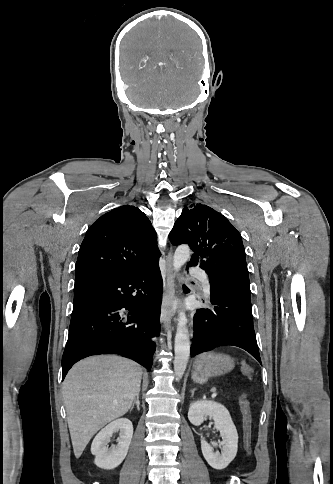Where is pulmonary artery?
Segmentation results:
<instances>
[{
    "mask_svg": "<svg viewBox=\"0 0 333 484\" xmlns=\"http://www.w3.org/2000/svg\"><path fill=\"white\" fill-rule=\"evenodd\" d=\"M193 274L200 280L206 295L210 294V282L207 275L200 270H193Z\"/></svg>",
    "mask_w": 333,
    "mask_h": 484,
    "instance_id": "1",
    "label": "pulmonary artery"
}]
</instances>
